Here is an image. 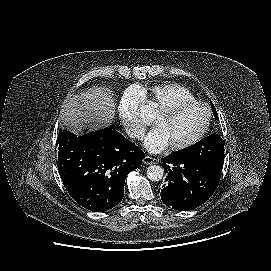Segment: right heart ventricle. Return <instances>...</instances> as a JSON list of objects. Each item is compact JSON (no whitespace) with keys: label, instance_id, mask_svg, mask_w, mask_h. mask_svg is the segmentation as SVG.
Segmentation results:
<instances>
[{"label":"right heart ventricle","instance_id":"obj_1","mask_svg":"<svg viewBox=\"0 0 271 271\" xmlns=\"http://www.w3.org/2000/svg\"><path fill=\"white\" fill-rule=\"evenodd\" d=\"M143 92L147 96V102L157 110L175 103L195 100L189 90L177 84L155 85Z\"/></svg>","mask_w":271,"mask_h":271}]
</instances>
